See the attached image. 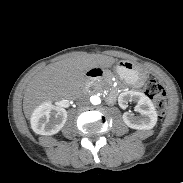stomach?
I'll return each mask as SVG.
<instances>
[{
	"label": "stomach",
	"instance_id": "obj_1",
	"mask_svg": "<svg viewBox=\"0 0 183 183\" xmlns=\"http://www.w3.org/2000/svg\"><path fill=\"white\" fill-rule=\"evenodd\" d=\"M116 72L119 77L130 86L139 87L144 84L147 79V73L144 69L135 66L127 60L117 63Z\"/></svg>",
	"mask_w": 183,
	"mask_h": 183
}]
</instances>
